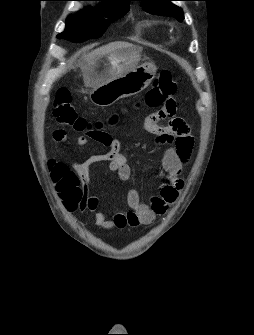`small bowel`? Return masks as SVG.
Wrapping results in <instances>:
<instances>
[{
	"label": "small bowel",
	"instance_id": "1",
	"mask_svg": "<svg viewBox=\"0 0 254 335\" xmlns=\"http://www.w3.org/2000/svg\"><path fill=\"white\" fill-rule=\"evenodd\" d=\"M175 99L176 96L171 94L169 98L164 100L163 108H153L150 118L145 124L146 130L158 136L160 141L172 143L162 156V169L167 182L160 187L159 194L147 204L141 200L135 189H130L127 193V204L130 211L116 213L112 216L106 212L97 211L98 200L89 195L87 190L90 182V167L98 162H109V170L122 181L130 179L131 168L117 139L108 135L107 139L102 141L92 132H86L79 138V145H85L89 140H92L106 143L109 146V151L104 154L92 155L82 162L59 161L51 166L52 178L61 192L68 210L73 211L78 208L82 212H94L95 223L105 229L150 225L157 216L167 212L183 188L184 182L180 175L193 151V138L189 126L181 119L174 118ZM157 120H166V123L161 125ZM54 139L59 143L67 142V138L61 130L54 132ZM59 163L64 165L65 171L57 167ZM78 187L82 191V198L75 201L72 194Z\"/></svg>",
	"mask_w": 254,
	"mask_h": 335
}]
</instances>
